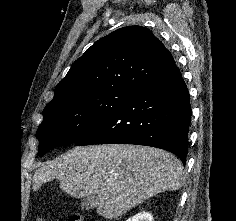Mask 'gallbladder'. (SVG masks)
<instances>
[{
  "label": "gallbladder",
  "mask_w": 236,
  "mask_h": 221,
  "mask_svg": "<svg viewBox=\"0 0 236 221\" xmlns=\"http://www.w3.org/2000/svg\"><path fill=\"white\" fill-rule=\"evenodd\" d=\"M80 205L82 209H86V210L94 209L98 205V198L97 196H93V195L88 196L81 201Z\"/></svg>",
  "instance_id": "1"
}]
</instances>
